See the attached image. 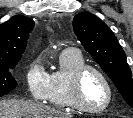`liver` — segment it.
I'll return each instance as SVG.
<instances>
[{
    "label": "liver",
    "mask_w": 133,
    "mask_h": 118,
    "mask_svg": "<svg viewBox=\"0 0 133 118\" xmlns=\"http://www.w3.org/2000/svg\"><path fill=\"white\" fill-rule=\"evenodd\" d=\"M0 118H73L70 113L16 99L0 101Z\"/></svg>",
    "instance_id": "obj_1"
}]
</instances>
